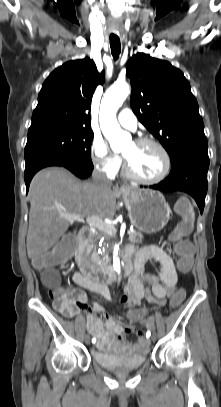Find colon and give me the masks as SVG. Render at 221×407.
I'll use <instances>...</instances> for the list:
<instances>
[{"instance_id": "5ec220e1", "label": "colon", "mask_w": 221, "mask_h": 407, "mask_svg": "<svg viewBox=\"0 0 221 407\" xmlns=\"http://www.w3.org/2000/svg\"><path fill=\"white\" fill-rule=\"evenodd\" d=\"M176 211L182 217V221L178 224L174 232L170 236V241L174 246L175 252L179 257L178 268L186 274L192 267L193 254L195 245L191 239H184L189 236L194 228V212L191 203L187 199H180L176 204ZM78 241L76 232L64 234L63 240H57V246H52L51 252H42L35 260L36 267L43 266H60L62 261H71L72 255H75V244ZM51 296L54 298V307L62 314H68L74 304L77 302V296L69 291V289H59V291H51ZM188 291L184 286H179L170 292V306L175 311L185 304ZM149 308L144 305H132L130 309L124 311V316L130 321L143 322L148 324L149 320L145 319L149 316Z\"/></svg>"}]
</instances>
